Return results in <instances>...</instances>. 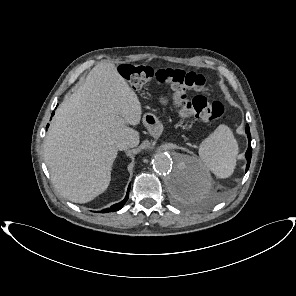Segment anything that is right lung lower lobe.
I'll return each instance as SVG.
<instances>
[{
	"label": "right lung lower lobe",
	"mask_w": 296,
	"mask_h": 296,
	"mask_svg": "<svg viewBox=\"0 0 296 296\" xmlns=\"http://www.w3.org/2000/svg\"><path fill=\"white\" fill-rule=\"evenodd\" d=\"M54 114V112L52 113V115ZM48 126V125H47ZM128 190H130V186L128 187ZM129 197V194L127 193L126 194V197L124 198V200H122L121 202L117 203V204H114L113 206H111L110 208L108 209H103L101 211V213H106V212H114V211H117V210H120L123 205L126 203L127 199Z\"/></svg>",
	"instance_id": "right-lung-lower-lobe-1"
}]
</instances>
